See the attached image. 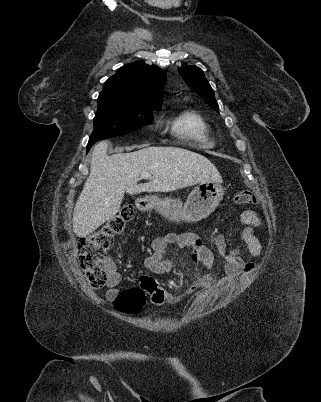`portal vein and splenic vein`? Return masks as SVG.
Masks as SVG:
<instances>
[{
	"mask_svg": "<svg viewBox=\"0 0 321 402\" xmlns=\"http://www.w3.org/2000/svg\"><path fill=\"white\" fill-rule=\"evenodd\" d=\"M140 177L141 178H143V179H152L153 178V176L151 175V174H149V173H142L141 175H140Z\"/></svg>",
	"mask_w": 321,
	"mask_h": 402,
	"instance_id": "obj_1",
	"label": "portal vein and splenic vein"
}]
</instances>
